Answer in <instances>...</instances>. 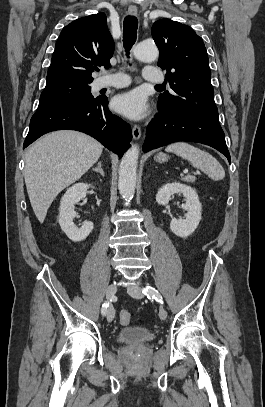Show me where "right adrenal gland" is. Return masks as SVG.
Returning a JSON list of instances; mask_svg holds the SVG:
<instances>
[{
  "instance_id": "obj_1",
  "label": "right adrenal gland",
  "mask_w": 265,
  "mask_h": 407,
  "mask_svg": "<svg viewBox=\"0 0 265 407\" xmlns=\"http://www.w3.org/2000/svg\"><path fill=\"white\" fill-rule=\"evenodd\" d=\"M92 170L97 172V173H100L102 175V177H104V171L102 169V162L101 161H99L97 167L93 168Z\"/></svg>"
}]
</instances>
